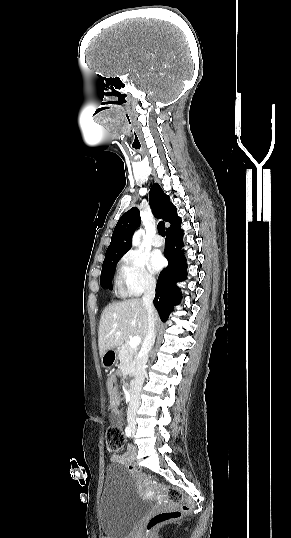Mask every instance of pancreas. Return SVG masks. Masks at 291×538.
<instances>
[{"label": "pancreas", "mask_w": 291, "mask_h": 538, "mask_svg": "<svg viewBox=\"0 0 291 538\" xmlns=\"http://www.w3.org/2000/svg\"><path fill=\"white\" fill-rule=\"evenodd\" d=\"M137 350L130 347L128 340L119 348L118 359L123 372L133 373L136 366Z\"/></svg>", "instance_id": "pancreas-1"}]
</instances>
